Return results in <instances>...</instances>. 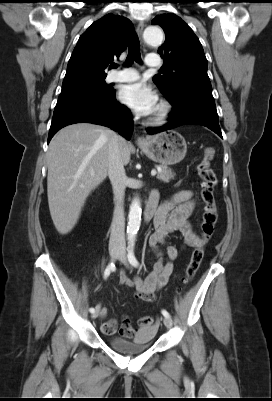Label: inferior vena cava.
Instances as JSON below:
<instances>
[{
	"instance_id": "obj_1",
	"label": "inferior vena cava",
	"mask_w": 272,
	"mask_h": 401,
	"mask_svg": "<svg viewBox=\"0 0 272 401\" xmlns=\"http://www.w3.org/2000/svg\"><path fill=\"white\" fill-rule=\"evenodd\" d=\"M119 136L114 135L109 143L108 176L112 184L115 208L111 224L110 245L125 244L124 196L127 186V176L121 157Z\"/></svg>"
}]
</instances>
